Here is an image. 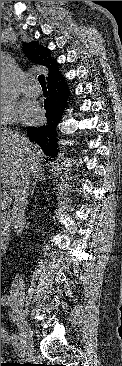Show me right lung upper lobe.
Listing matches in <instances>:
<instances>
[{"instance_id":"1","label":"right lung upper lobe","mask_w":122,"mask_h":366,"mask_svg":"<svg viewBox=\"0 0 122 366\" xmlns=\"http://www.w3.org/2000/svg\"><path fill=\"white\" fill-rule=\"evenodd\" d=\"M23 51L32 62L49 69L48 83L62 76L58 70L56 61L50 57L48 49L39 46L36 42H31L24 44Z\"/></svg>"}]
</instances>
